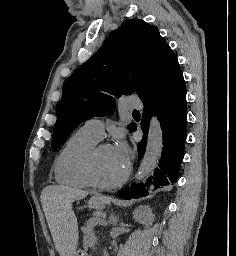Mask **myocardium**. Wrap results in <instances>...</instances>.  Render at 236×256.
Listing matches in <instances>:
<instances>
[{"label": "myocardium", "instance_id": "myocardium-1", "mask_svg": "<svg viewBox=\"0 0 236 256\" xmlns=\"http://www.w3.org/2000/svg\"><path fill=\"white\" fill-rule=\"evenodd\" d=\"M106 147H108L107 144H100L92 149L89 155V160H88V173H89L91 184L94 187L101 190H113L125 184V182L128 180L130 176L131 166H130V163H127L122 175L118 179L112 182H104L103 180H101L97 171L96 157L99 151H101Z\"/></svg>", "mask_w": 236, "mask_h": 256}]
</instances>
